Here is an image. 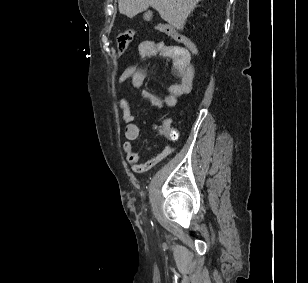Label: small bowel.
<instances>
[{
  "mask_svg": "<svg viewBox=\"0 0 308 283\" xmlns=\"http://www.w3.org/2000/svg\"><path fill=\"white\" fill-rule=\"evenodd\" d=\"M138 53L142 57L163 56L169 58L173 63L175 72L180 77V82L171 85L168 92L163 97H159L146 90L141 91L143 98H145L152 107H173L178 97L191 92L195 78V70L191 64V54L184 48L163 42L146 40L139 44ZM144 79L145 71L142 68L129 67L119 76V83L124 85L129 81L134 88H141ZM119 109L122 114V119L126 124L124 131L126 141L123 144V150L134 172L143 173L150 170L174 151L172 144L174 139L167 137L168 142L163 150L157 156L143 161L134 144L141 135V129L134 121L135 117L129 101L124 98L120 99Z\"/></svg>",
  "mask_w": 308,
  "mask_h": 283,
  "instance_id": "small-bowel-1",
  "label": "small bowel"
}]
</instances>
